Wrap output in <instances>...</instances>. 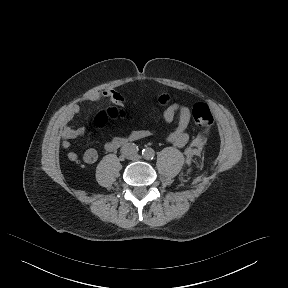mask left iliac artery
Masks as SVG:
<instances>
[{
    "mask_svg": "<svg viewBox=\"0 0 288 288\" xmlns=\"http://www.w3.org/2000/svg\"><path fill=\"white\" fill-rule=\"evenodd\" d=\"M142 155L145 159L149 160V159H153L154 157V150L151 148H144L142 150Z\"/></svg>",
    "mask_w": 288,
    "mask_h": 288,
    "instance_id": "44dca946",
    "label": "left iliac artery"
}]
</instances>
